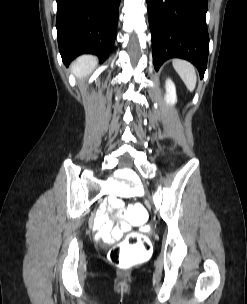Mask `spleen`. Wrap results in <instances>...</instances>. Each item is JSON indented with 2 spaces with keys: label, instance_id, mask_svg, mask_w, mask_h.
<instances>
[{
  "label": "spleen",
  "instance_id": "1",
  "mask_svg": "<svg viewBox=\"0 0 247 304\" xmlns=\"http://www.w3.org/2000/svg\"><path fill=\"white\" fill-rule=\"evenodd\" d=\"M172 64L187 89L191 92L194 91L197 82L195 67L190 62L183 59H174Z\"/></svg>",
  "mask_w": 247,
  "mask_h": 304
}]
</instances>
